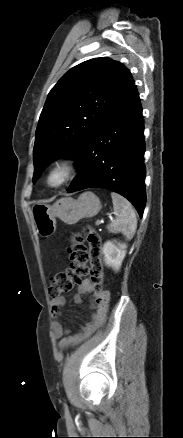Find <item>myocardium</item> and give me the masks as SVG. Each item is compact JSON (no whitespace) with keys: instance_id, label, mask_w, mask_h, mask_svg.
I'll list each match as a JSON object with an SVG mask.
<instances>
[{"instance_id":"obj_1","label":"myocardium","mask_w":183,"mask_h":438,"mask_svg":"<svg viewBox=\"0 0 183 438\" xmlns=\"http://www.w3.org/2000/svg\"><path fill=\"white\" fill-rule=\"evenodd\" d=\"M57 172L62 175V178L58 183L52 184L50 182V177ZM74 173H75V164L71 160L57 161L48 169L46 173L45 176L46 185L51 189H59L72 179Z\"/></svg>"}]
</instances>
